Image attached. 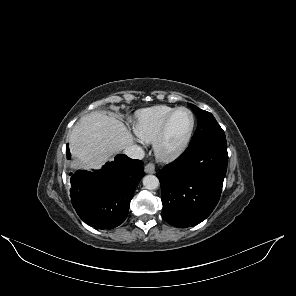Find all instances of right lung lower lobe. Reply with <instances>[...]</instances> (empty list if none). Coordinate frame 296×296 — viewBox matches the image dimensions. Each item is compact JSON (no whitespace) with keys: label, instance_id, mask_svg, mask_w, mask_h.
Listing matches in <instances>:
<instances>
[{"label":"right lung lower lobe","instance_id":"obj_1","mask_svg":"<svg viewBox=\"0 0 296 296\" xmlns=\"http://www.w3.org/2000/svg\"><path fill=\"white\" fill-rule=\"evenodd\" d=\"M66 151L69 159L68 145ZM70 175L71 203L80 218L95 228L112 229L126 219L144 169L142 161L119 154L100 170Z\"/></svg>","mask_w":296,"mask_h":296}]
</instances>
